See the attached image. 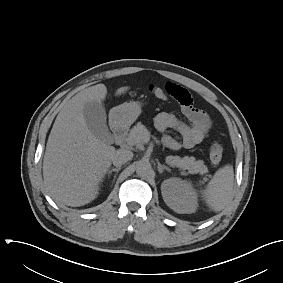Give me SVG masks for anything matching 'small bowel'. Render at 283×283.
Here are the masks:
<instances>
[{
    "mask_svg": "<svg viewBox=\"0 0 283 283\" xmlns=\"http://www.w3.org/2000/svg\"><path fill=\"white\" fill-rule=\"evenodd\" d=\"M164 90L166 97L170 96L178 101L187 122L179 120L168 112L157 114L154 124L156 129L163 133V144L170 150L178 151L181 148L189 149L201 143L211 128V120L207 113L194 106L191 94L184 87L168 82L164 85ZM169 129L177 130L181 138L172 137L167 133Z\"/></svg>",
    "mask_w": 283,
    "mask_h": 283,
    "instance_id": "1",
    "label": "small bowel"
}]
</instances>
